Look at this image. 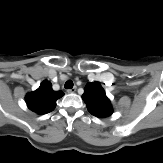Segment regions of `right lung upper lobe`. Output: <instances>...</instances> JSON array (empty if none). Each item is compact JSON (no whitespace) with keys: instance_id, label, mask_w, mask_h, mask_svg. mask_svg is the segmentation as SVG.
Segmentation results:
<instances>
[{"instance_id":"1","label":"right lung upper lobe","mask_w":163,"mask_h":163,"mask_svg":"<svg viewBox=\"0 0 163 163\" xmlns=\"http://www.w3.org/2000/svg\"><path fill=\"white\" fill-rule=\"evenodd\" d=\"M64 95L62 91H54L49 81H43L39 88L26 95V103L30 110L43 115L53 111L57 99Z\"/></svg>"}]
</instances>
